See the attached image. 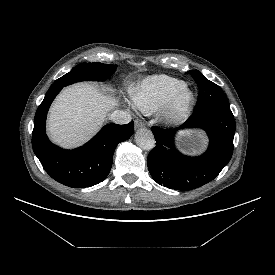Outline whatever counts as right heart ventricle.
<instances>
[{
  "instance_id": "e07e8e85",
  "label": "right heart ventricle",
  "mask_w": 275,
  "mask_h": 275,
  "mask_svg": "<svg viewBox=\"0 0 275 275\" xmlns=\"http://www.w3.org/2000/svg\"><path fill=\"white\" fill-rule=\"evenodd\" d=\"M184 85V81L168 75L147 77L133 90V104L144 113H153Z\"/></svg>"
}]
</instances>
